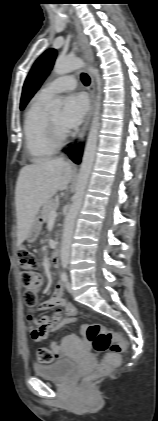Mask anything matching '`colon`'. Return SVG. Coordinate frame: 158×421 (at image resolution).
Wrapping results in <instances>:
<instances>
[{
    "label": "colon",
    "mask_w": 158,
    "mask_h": 421,
    "mask_svg": "<svg viewBox=\"0 0 158 421\" xmlns=\"http://www.w3.org/2000/svg\"><path fill=\"white\" fill-rule=\"evenodd\" d=\"M17 256L21 268V281L26 293V302L33 306L36 304V294L41 285V279L37 273L38 260L25 246L19 247ZM85 336L96 352H107L96 372L89 376L88 380L105 374L120 364L121 355L126 350V342L121 335L101 324H90L85 329ZM55 356L52 350L44 347L38 349L37 352V358L41 363H51Z\"/></svg>",
    "instance_id": "5ec220e1"
}]
</instances>
